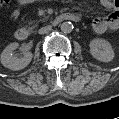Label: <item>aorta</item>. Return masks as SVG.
Here are the masks:
<instances>
[{
    "label": "aorta",
    "mask_w": 119,
    "mask_h": 119,
    "mask_svg": "<svg viewBox=\"0 0 119 119\" xmlns=\"http://www.w3.org/2000/svg\"><path fill=\"white\" fill-rule=\"evenodd\" d=\"M60 28L62 32L70 33L73 30V24L71 22H63Z\"/></svg>",
    "instance_id": "obj_1"
}]
</instances>
